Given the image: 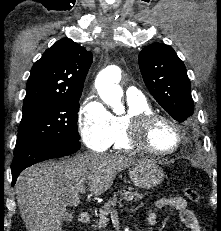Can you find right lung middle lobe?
Masks as SVG:
<instances>
[{
	"label": "right lung middle lobe",
	"mask_w": 221,
	"mask_h": 231,
	"mask_svg": "<svg viewBox=\"0 0 221 231\" xmlns=\"http://www.w3.org/2000/svg\"><path fill=\"white\" fill-rule=\"evenodd\" d=\"M79 98H40L24 101L14 154L46 141L79 143Z\"/></svg>",
	"instance_id": "right-lung-middle-lobe-1"
}]
</instances>
